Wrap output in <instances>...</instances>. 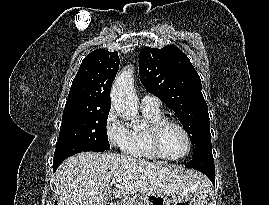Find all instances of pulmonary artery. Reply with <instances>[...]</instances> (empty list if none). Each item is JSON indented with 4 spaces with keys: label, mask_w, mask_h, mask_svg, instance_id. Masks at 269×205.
<instances>
[{
    "label": "pulmonary artery",
    "mask_w": 269,
    "mask_h": 205,
    "mask_svg": "<svg viewBox=\"0 0 269 205\" xmlns=\"http://www.w3.org/2000/svg\"><path fill=\"white\" fill-rule=\"evenodd\" d=\"M161 101L153 95H144L141 99V107L144 109L158 110L160 109Z\"/></svg>",
    "instance_id": "obj_1"
}]
</instances>
